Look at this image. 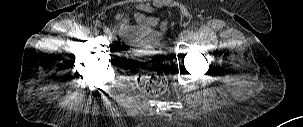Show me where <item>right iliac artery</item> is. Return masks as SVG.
I'll return each instance as SVG.
<instances>
[{
	"label": "right iliac artery",
	"instance_id": "obj_1",
	"mask_svg": "<svg viewBox=\"0 0 303 127\" xmlns=\"http://www.w3.org/2000/svg\"><path fill=\"white\" fill-rule=\"evenodd\" d=\"M93 25H94L95 27H101V23H100V21H98V20H94V21H93Z\"/></svg>",
	"mask_w": 303,
	"mask_h": 127
}]
</instances>
